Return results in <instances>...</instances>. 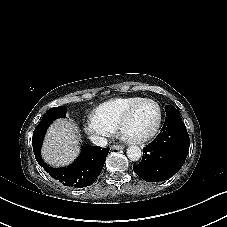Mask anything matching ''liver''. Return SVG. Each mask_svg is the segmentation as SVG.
I'll list each match as a JSON object with an SVG mask.
<instances>
[{
	"mask_svg": "<svg viewBox=\"0 0 227 227\" xmlns=\"http://www.w3.org/2000/svg\"><path fill=\"white\" fill-rule=\"evenodd\" d=\"M78 133V127L72 120H56L43 141V160L52 167H63L73 162L80 152Z\"/></svg>",
	"mask_w": 227,
	"mask_h": 227,
	"instance_id": "liver-1",
	"label": "liver"
}]
</instances>
